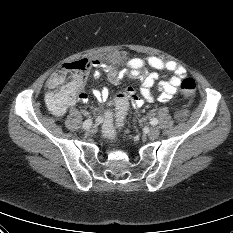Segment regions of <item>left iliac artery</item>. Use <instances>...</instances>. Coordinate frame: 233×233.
<instances>
[{"mask_svg":"<svg viewBox=\"0 0 233 233\" xmlns=\"http://www.w3.org/2000/svg\"><path fill=\"white\" fill-rule=\"evenodd\" d=\"M150 124H151V125H157V124H158V120H157L156 118H152V119L150 120Z\"/></svg>","mask_w":233,"mask_h":233,"instance_id":"1","label":"left iliac artery"}]
</instances>
